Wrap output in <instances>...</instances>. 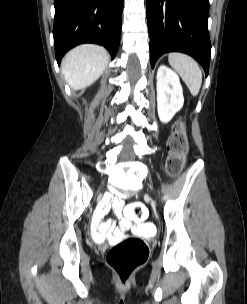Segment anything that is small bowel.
<instances>
[{
  "instance_id": "1",
  "label": "small bowel",
  "mask_w": 247,
  "mask_h": 304,
  "mask_svg": "<svg viewBox=\"0 0 247 304\" xmlns=\"http://www.w3.org/2000/svg\"><path fill=\"white\" fill-rule=\"evenodd\" d=\"M122 205L120 200L112 199L107 195L104 201L98 206L93 222L91 237L95 242L113 243L123 238L124 233L131 228V222L127 219H121L118 228H115L113 220L101 221L102 217L108 213L112 207L119 216V210Z\"/></svg>"
}]
</instances>
